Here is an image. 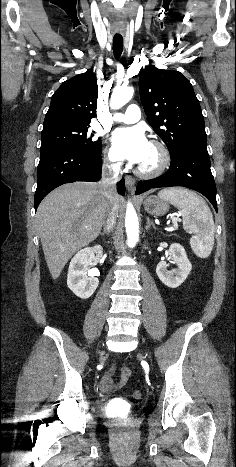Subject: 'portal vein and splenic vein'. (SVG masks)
Returning <instances> with one entry per match:
<instances>
[{
    "mask_svg": "<svg viewBox=\"0 0 236 467\" xmlns=\"http://www.w3.org/2000/svg\"><path fill=\"white\" fill-rule=\"evenodd\" d=\"M177 222H178V219H174V220H173V223H174V227H175V228L178 227Z\"/></svg>",
    "mask_w": 236,
    "mask_h": 467,
    "instance_id": "portal-vein-and-splenic-vein-1",
    "label": "portal vein and splenic vein"
}]
</instances>
